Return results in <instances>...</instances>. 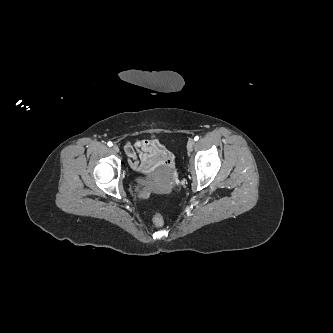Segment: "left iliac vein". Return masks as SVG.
Listing matches in <instances>:
<instances>
[{
    "label": "left iliac vein",
    "mask_w": 333,
    "mask_h": 333,
    "mask_svg": "<svg viewBox=\"0 0 333 333\" xmlns=\"http://www.w3.org/2000/svg\"><path fill=\"white\" fill-rule=\"evenodd\" d=\"M195 141L193 139H190L187 143V150L192 151L194 147Z\"/></svg>",
    "instance_id": "1"
}]
</instances>
